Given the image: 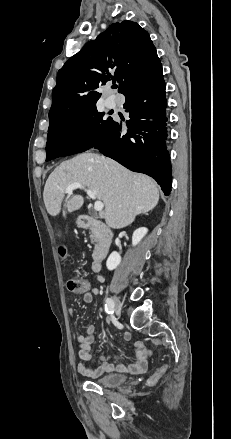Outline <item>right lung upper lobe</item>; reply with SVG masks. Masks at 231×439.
Wrapping results in <instances>:
<instances>
[{
	"instance_id": "obj_1",
	"label": "right lung upper lobe",
	"mask_w": 231,
	"mask_h": 439,
	"mask_svg": "<svg viewBox=\"0 0 231 439\" xmlns=\"http://www.w3.org/2000/svg\"><path fill=\"white\" fill-rule=\"evenodd\" d=\"M162 76V65L148 32L136 22L112 24L88 42L58 71L50 123L96 107V89L115 78L119 92L132 91Z\"/></svg>"
}]
</instances>
